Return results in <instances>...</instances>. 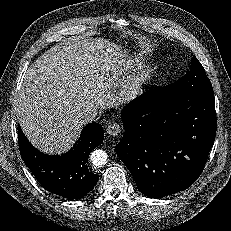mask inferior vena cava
Here are the masks:
<instances>
[{"label":"inferior vena cava","instance_id":"obj_1","mask_svg":"<svg viewBox=\"0 0 231 231\" xmlns=\"http://www.w3.org/2000/svg\"><path fill=\"white\" fill-rule=\"evenodd\" d=\"M97 108L94 106H86L78 114V118L84 123H89L95 120L97 116Z\"/></svg>","mask_w":231,"mask_h":231}]
</instances>
